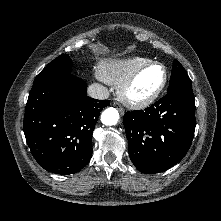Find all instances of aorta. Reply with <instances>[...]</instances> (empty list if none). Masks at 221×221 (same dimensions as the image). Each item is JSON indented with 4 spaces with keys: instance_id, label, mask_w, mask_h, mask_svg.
Wrapping results in <instances>:
<instances>
[{
    "instance_id": "1",
    "label": "aorta",
    "mask_w": 221,
    "mask_h": 221,
    "mask_svg": "<svg viewBox=\"0 0 221 221\" xmlns=\"http://www.w3.org/2000/svg\"><path fill=\"white\" fill-rule=\"evenodd\" d=\"M119 121L118 110L110 107L105 109L101 114V122L106 126H112L117 124Z\"/></svg>"
}]
</instances>
